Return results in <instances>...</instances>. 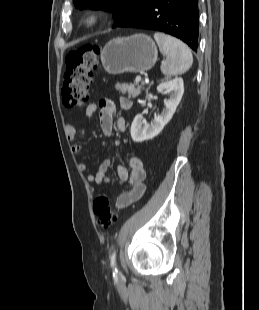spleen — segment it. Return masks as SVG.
<instances>
[{"mask_svg":"<svg viewBox=\"0 0 259 310\" xmlns=\"http://www.w3.org/2000/svg\"><path fill=\"white\" fill-rule=\"evenodd\" d=\"M154 39L158 44L160 52L166 56V60L161 65V71L166 76H177L190 69L193 63V56L182 41L156 32Z\"/></svg>","mask_w":259,"mask_h":310,"instance_id":"3e777b00","label":"spleen"}]
</instances>
